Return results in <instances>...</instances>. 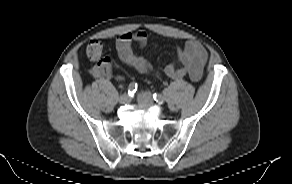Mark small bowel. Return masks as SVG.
<instances>
[{
	"mask_svg": "<svg viewBox=\"0 0 292 184\" xmlns=\"http://www.w3.org/2000/svg\"><path fill=\"white\" fill-rule=\"evenodd\" d=\"M147 33L142 30L126 32L119 35L116 39V50L120 59L137 71L147 74L151 67L146 59L133 50V44L143 46L147 42ZM208 54L206 49L196 41H188L183 48L178 49V59L181 66L169 64L165 67V74L173 79H181L188 75L193 81H198L202 77L204 66L207 62ZM91 74L98 80L115 78L123 81L121 75L115 76L113 73V62L105 57L96 61L91 68Z\"/></svg>",
	"mask_w": 292,
	"mask_h": 184,
	"instance_id": "1",
	"label": "small bowel"
}]
</instances>
